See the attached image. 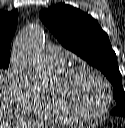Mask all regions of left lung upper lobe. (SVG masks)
<instances>
[{
  "label": "left lung upper lobe",
  "instance_id": "5c2ea615",
  "mask_svg": "<svg viewBox=\"0 0 125 128\" xmlns=\"http://www.w3.org/2000/svg\"><path fill=\"white\" fill-rule=\"evenodd\" d=\"M39 17L65 48L103 72L114 88L117 106L112 111L125 117V92L117 57L107 33L98 22L87 13L64 3L41 10Z\"/></svg>",
  "mask_w": 125,
  "mask_h": 128
}]
</instances>
